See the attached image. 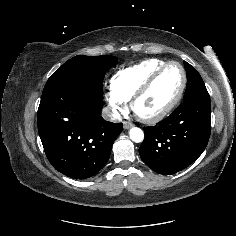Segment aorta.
<instances>
[{"mask_svg": "<svg viewBox=\"0 0 236 236\" xmlns=\"http://www.w3.org/2000/svg\"><path fill=\"white\" fill-rule=\"evenodd\" d=\"M129 136L131 140L136 143H140L144 140V132L138 127L131 128L129 131Z\"/></svg>", "mask_w": 236, "mask_h": 236, "instance_id": "aorta-1", "label": "aorta"}]
</instances>
